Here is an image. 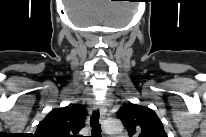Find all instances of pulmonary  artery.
<instances>
[{
    "instance_id": "obj_1",
    "label": "pulmonary artery",
    "mask_w": 206,
    "mask_h": 137,
    "mask_svg": "<svg viewBox=\"0 0 206 137\" xmlns=\"http://www.w3.org/2000/svg\"><path fill=\"white\" fill-rule=\"evenodd\" d=\"M118 137H125V136H123V135H120V136H118Z\"/></svg>"
}]
</instances>
